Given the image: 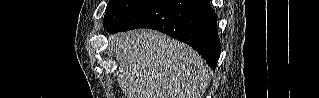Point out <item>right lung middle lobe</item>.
I'll use <instances>...</instances> for the list:
<instances>
[{
  "label": "right lung middle lobe",
  "mask_w": 319,
  "mask_h": 98,
  "mask_svg": "<svg viewBox=\"0 0 319 98\" xmlns=\"http://www.w3.org/2000/svg\"><path fill=\"white\" fill-rule=\"evenodd\" d=\"M148 0H110L104 16V27L112 26L141 7Z\"/></svg>",
  "instance_id": "1"
}]
</instances>
